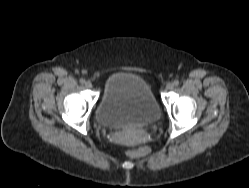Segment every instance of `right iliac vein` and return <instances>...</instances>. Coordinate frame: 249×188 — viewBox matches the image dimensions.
I'll list each match as a JSON object with an SVG mask.
<instances>
[{
    "instance_id": "1",
    "label": "right iliac vein",
    "mask_w": 249,
    "mask_h": 188,
    "mask_svg": "<svg viewBox=\"0 0 249 188\" xmlns=\"http://www.w3.org/2000/svg\"><path fill=\"white\" fill-rule=\"evenodd\" d=\"M85 86H86L87 88H92V83H91L90 81H87V82L85 83Z\"/></svg>"
}]
</instances>
